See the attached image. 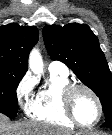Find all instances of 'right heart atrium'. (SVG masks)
Listing matches in <instances>:
<instances>
[{
	"label": "right heart atrium",
	"instance_id": "d8ad5b80",
	"mask_svg": "<svg viewBox=\"0 0 112 135\" xmlns=\"http://www.w3.org/2000/svg\"><path fill=\"white\" fill-rule=\"evenodd\" d=\"M35 81L32 76L26 74L16 87V99L23 110H27L34 96Z\"/></svg>",
	"mask_w": 112,
	"mask_h": 135
}]
</instances>
